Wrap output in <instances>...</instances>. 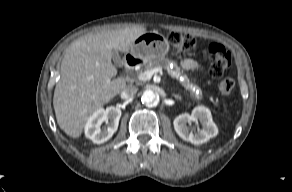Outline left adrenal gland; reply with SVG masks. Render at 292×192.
I'll return each instance as SVG.
<instances>
[{
  "label": "left adrenal gland",
  "instance_id": "a2214340",
  "mask_svg": "<svg viewBox=\"0 0 292 192\" xmlns=\"http://www.w3.org/2000/svg\"><path fill=\"white\" fill-rule=\"evenodd\" d=\"M173 96L177 99V100H181V97L177 94H173Z\"/></svg>",
  "mask_w": 292,
  "mask_h": 192
}]
</instances>
